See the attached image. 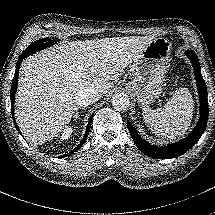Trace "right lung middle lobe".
Listing matches in <instances>:
<instances>
[{"label":"right lung middle lobe","mask_w":215,"mask_h":215,"mask_svg":"<svg viewBox=\"0 0 215 215\" xmlns=\"http://www.w3.org/2000/svg\"><path fill=\"white\" fill-rule=\"evenodd\" d=\"M53 45V42L49 40L48 38H43L40 40H37L29 45V47L26 48V50L23 52L27 54V56L32 55L33 53L45 49L46 47Z\"/></svg>","instance_id":"dd1d6c3e"}]
</instances>
